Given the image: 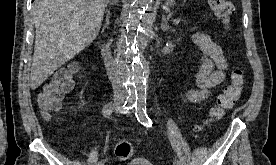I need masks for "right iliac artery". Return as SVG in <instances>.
<instances>
[{
    "label": "right iliac artery",
    "instance_id": "1",
    "mask_svg": "<svg viewBox=\"0 0 276 165\" xmlns=\"http://www.w3.org/2000/svg\"><path fill=\"white\" fill-rule=\"evenodd\" d=\"M136 103H137V100L129 99L124 103L122 109L127 112L128 110L133 109ZM102 111L104 116L109 117L113 112V106L111 104H107L103 107ZM98 165H104V162H99Z\"/></svg>",
    "mask_w": 276,
    "mask_h": 165
}]
</instances>
